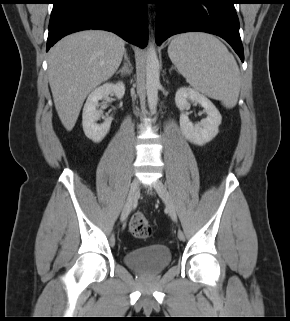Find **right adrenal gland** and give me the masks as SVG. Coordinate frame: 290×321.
<instances>
[{"label":"right adrenal gland","mask_w":290,"mask_h":321,"mask_svg":"<svg viewBox=\"0 0 290 321\" xmlns=\"http://www.w3.org/2000/svg\"><path fill=\"white\" fill-rule=\"evenodd\" d=\"M132 64L130 62V59L127 55V52L125 51L124 53V64L122 66L121 69H119L116 74H121V76H126V75H130L132 73Z\"/></svg>","instance_id":"2a0ac1e0"}]
</instances>
